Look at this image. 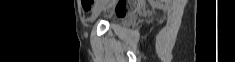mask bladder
I'll return each instance as SVG.
<instances>
[{
	"instance_id": "obj_1",
	"label": "bladder",
	"mask_w": 235,
	"mask_h": 62,
	"mask_svg": "<svg viewBox=\"0 0 235 62\" xmlns=\"http://www.w3.org/2000/svg\"><path fill=\"white\" fill-rule=\"evenodd\" d=\"M135 20V15L134 14H128L124 19L120 22L121 25L127 26L131 25Z\"/></svg>"
}]
</instances>
